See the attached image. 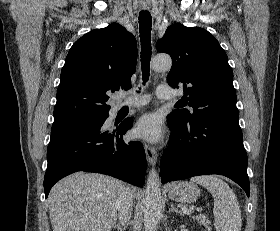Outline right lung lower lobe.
I'll list each match as a JSON object with an SVG mask.
<instances>
[{
  "label": "right lung lower lobe",
  "instance_id": "98d812e1",
  "mask_svg": "<svg viewBox=\"0 0 280 231\" xmlns=\"http://www.w3.org/2000/svg\"><path fill=\"white\" fill-rule=\"evenodd\" d=\"M107 117L53 124L44 178L46 198L57 181L76 171L102 173L143 186L146 172L143 145L139 141L122 140L132 122L103 132Z\"/></svg>",
  "mask_w": 280,
  "mask_h": 231
}]
</instances>
